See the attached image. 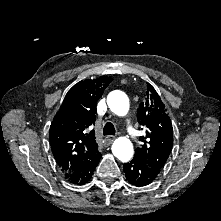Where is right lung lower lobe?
Wrapping results in <instances>:
<instances>
[{"label": "right lung lower lobe", "instance_id": "98d812e1", "mask_svg": "<svg viewBox=\"0 0 221 221\" xmlns=\"http://www.w3.org/2000/svg\"><path fill=\"white\" fill-rule=\"evenodd\" d=\"M101 158V153L97 150L95 151L88 160L85 161L79 168L66 174V178L73 184L82 185L87 183L96 166L98 165Z\"/></svg>", "mask_w": 221, "mask_h": 221}]
</instances>
